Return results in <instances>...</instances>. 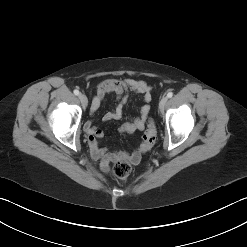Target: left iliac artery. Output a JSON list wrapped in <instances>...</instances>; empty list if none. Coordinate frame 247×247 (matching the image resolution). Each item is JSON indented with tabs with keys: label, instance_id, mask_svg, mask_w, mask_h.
<instances>
[{
	"label": "left iliac artery",
	"instance_id": "obj_1",
	"mask_svg": "<svg viewBox=\"0 0 247 247\" xmlns=\"http://www.w3.org/2000/svg\"><path fill=\"white\" fill-rule=\"evenodd\" d=\"M172 96H173V93L172 92H168L167 97L171 98Z\"/></svg>",
	"mask_w": 247,
	"mask_h": 247
}]
</instances>
